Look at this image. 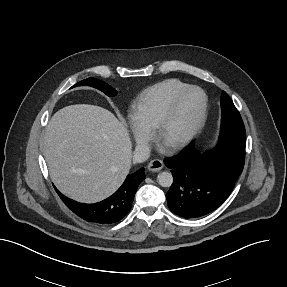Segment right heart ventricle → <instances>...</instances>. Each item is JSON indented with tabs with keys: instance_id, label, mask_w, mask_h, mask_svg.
Returning <instances> with one entry per match:
<instances>
[{
	"instance_id": "1",
	"label": "right heart ventricle",
	"mask_w": 287,
	"mask_h": 287,
	"mask_svg": "<svg viewBox=\"0 0 287 287\" xmlns=\"http://www.w3.org/2000/svg\"><path fill=\"white\" fill-rule=\"evenodd\" d=\"M188 85L168 79L144 90L132 109V120L143 130L155 129L172 97Z\"/></svg>"
}]
</instances>
